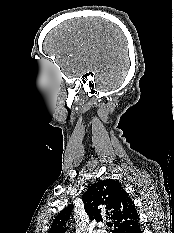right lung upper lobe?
Segmentation results:
<instances>
[{
	"mask_svg": "<svg viewBox=\"0 0 174 233\" xmlns=\"http://www.w3.org/2000/svg\"><path fill=\"white\" fill-rule=\"evenodd\" d=\"M90 220L113 222V233H130L140 225V218L129 194L121 183L106 179L92 184L82 196ZM74 205H68L54 219L48 233H65Z\"/></svg>",
	"mask_w": 174,
	"mask_h": 233,
	"instance_id": "obj_1",
	"label": "right lung upper lobe"
}]
</instances>
